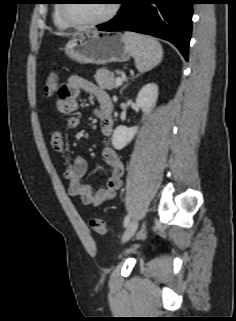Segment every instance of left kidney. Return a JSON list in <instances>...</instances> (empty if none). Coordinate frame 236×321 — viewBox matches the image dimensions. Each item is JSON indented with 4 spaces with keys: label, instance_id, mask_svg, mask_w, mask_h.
Here are the masks:
<instances>
[{
    "label": "left kidney",
    "instance_id": "obj_1",
    "mask_svg": "<svg viewBox=\"0 0 236 321\" xmlns=\"http://www.w3.org/2000/svg\"><path fill=\"white\" fill-rule=\"evenodd\" d=\"M158 99V86L155 83H149L142 87L136 98L137 106L142 110V121L149 115ZM138 126L125 127L118 126L112 135V145L115 149L120 150L129 144L138 133Z\"/></svg>",
    "mask_w": 236,
    "mask_h": 321
}]
</instances>
